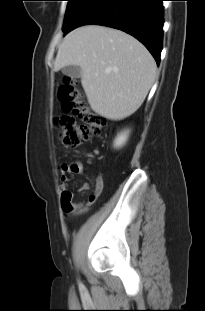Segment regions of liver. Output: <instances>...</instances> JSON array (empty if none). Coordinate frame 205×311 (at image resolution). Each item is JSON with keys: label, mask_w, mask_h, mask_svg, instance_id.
I'll return each instance as SVG.
<instances>
[{"label": "liver", "mask_w": 205, "mask_h": 311, "mask_svg": "<svg viewBox=\"0 0 205 311\" xmlns=\"http://www.w3.org/2000/svg\"><path fill=\"white\" fill-rule=\"evenodd\" d=\"M80 66L81 84L94 112L111 120L132 115L156 77L149 51L131 35L87 25L70 32L59 46L54 71Z\"/></svg>", "instance_id": "1"}]
</instances>
